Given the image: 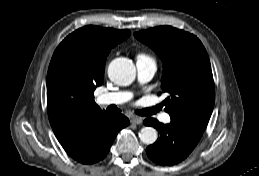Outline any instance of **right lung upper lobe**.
Wrapping results in <instances>:
<instances>
[{
  "label": "right lung upper lobe",
  "mask_w": 259,
  "mask_h": 176,
  "mask_svg": "<svg viewBox=\"0 0 259 176\" xmlns=\"http://www.w3.org/2000/svg\"><path fill=\"white\" fill-rule=\"evenodd\" d=\"M129 30L85 26L68 35L56 48L47 74V107L51 127L69 146L103 114L94 102L102 85L110 50L129 37Z\"/></svg>",
  "instance_id": "right-lung-upper-lobe-1"
}]
</instances>
